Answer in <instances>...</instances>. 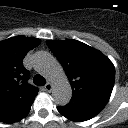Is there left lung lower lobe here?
Returning <instances> with one entry per match:
<instances>
[{
  "label": "left lung lower lobe",
  "instance_id": "1",
  "mask_svg": "<svg viewBox=\"0 0 128 128\" xmlns=\"http://www.w3.org/2000/svg\"><path fill=\"white\" fill-rule=\"evenodd\" d=\"M103 108L104 106L100 104L70 101L68 105L59 106L57 109L66 118L81 122L93 118Z\"/></svg>",
  "mask_w": 128,
  "mask_h": 128
}]
</instances>
